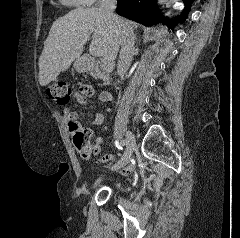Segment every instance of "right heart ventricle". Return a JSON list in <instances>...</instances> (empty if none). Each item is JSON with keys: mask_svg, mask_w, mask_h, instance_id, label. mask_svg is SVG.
<instances>
[{"mask_svg": "<svg viewBox=\"0 0 240 238\" xmlns=\"http://www.w3.org/2000/svg\"><path fill=\"white\" fill-rule=\"evenodd\" d=\"M61 3L71 7H84L89 5L87 0H59Z\"/></svg>", "mask_w": 240, "mask_h": 238, "instance_id": "e07e8e85", "label": "right heart ventricle"}]
</instances>
